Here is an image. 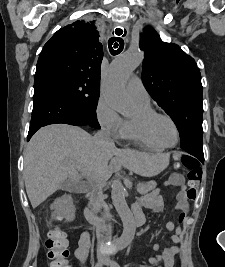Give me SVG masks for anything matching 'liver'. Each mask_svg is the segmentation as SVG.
<instances>
[{"mask_svg":"<svg viewBox=\"0 0 225 267\" xmlns=\"http://www.w3.org/2000/svg\"><path fill=\"white\" fill-rule=\"evenodd\" d=\"M148 157L119 150L114 145H100L79 127L51 124L38 130L26 147L23 173L26 192L36 208L67 179L84 176L95 181L99 172L108 179L112 168L120 166L146 176L143 164ZM110 159L112 163L108 165Z\"/></svg>","mask_w":225,"mask_h":267,"instance_id":"obj_1","label":"liver"}]
</instances>
